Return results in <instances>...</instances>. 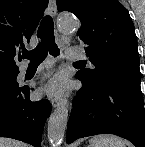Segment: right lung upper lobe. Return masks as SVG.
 <instances>
[{
	"mask_svg": "<svg viewBox=\"0 0 145 147\" xmlns=\"http://www.w3.org/2000/svg\"><path fill=\"white\" fill-rule=\"evenodd\" d=\"M48 0H0V74L19 72L20 46L30 40Z\"/></svg>",
	"mask_w": 145,
	"mask_h": 147,
	"instance_id": "obj_1",
	"label": "right lung upper lobe"
}]
</instances>
